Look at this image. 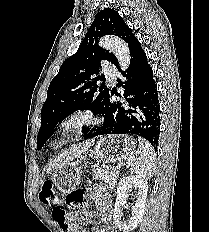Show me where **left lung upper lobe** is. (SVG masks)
<instances>
[{"instance_id":"5c2ea615","label":"left lung upper lobe","mask_w":209,"mask_h":232,"mask_svg":"<svg viewBox=\"0 0 209 232\" xmlns=\"http://www.w3.org/2000/svg\"><path fill=\"white\" fill-rule=\"evenodd\" d=\"M104 35L122 38L129 46L137 40L116 10L105 8L95 15L77 52L66 59L52 79L41 110V127L37 136L40 150L54 133L56 125L77 110H91L102 115L109 101V89L96 85L102 60L118 67L114 54L98 45ZM94 75H98L94 77ZM90 129H84V136Z\"/></svg>"}]
</instances>
